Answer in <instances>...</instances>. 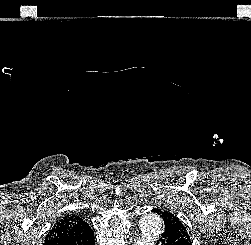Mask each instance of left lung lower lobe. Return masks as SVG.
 I'll return each mask as SVG.
<instances>
[{
	"label": "left lung lower lobe",
	"instance_id": "left-lung-lower-lobe-1",
	"mask_svg": "<svg viewBox=\"0 0 251 245\" xmlns=\"http://www.w3.org/2000/svg\"><path fill=\"white\" fill-rule=\"evenodd\" d=\"M153 212L160 215L158 209H153ZM159 241L161 245H191V243L182 239L172 228L165 229ZM156 245H158V243Z\"/></svg>",
	"mask_w": 251,
	"mask_h": 245
}]
</instances>
